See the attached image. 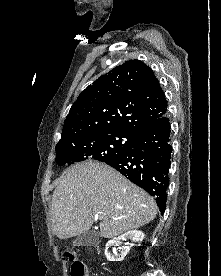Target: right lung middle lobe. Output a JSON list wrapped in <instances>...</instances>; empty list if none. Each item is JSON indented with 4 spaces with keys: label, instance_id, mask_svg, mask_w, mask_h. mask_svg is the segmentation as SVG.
<instances>
[{
    "label": "right lung middle lobe",
    "instance_id": "1",
    "mask_svg": "<svg viewBox=\"0 0 221 276\" xmlns=\"http://www.w3.org/2000/svg\"><path fill=\"white\" fill-rule=\"evenodd\" d=\"M134 136L123 132L93 134L83 139H73L56 145V162L59 165L73 164L88 159L106 162L127 152Z\"/></svg>",
    "mask_w": 221,
    "mask_h": 276
}]
</instances>
